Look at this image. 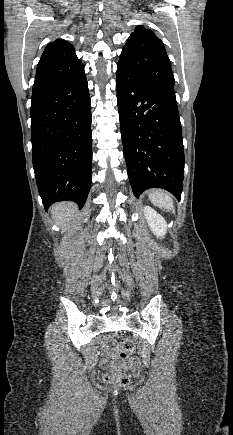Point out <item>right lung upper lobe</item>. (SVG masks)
Wrapping results in <instances>:
<instances>
[{"label":"right lung upper lobe","instance_id":"cb5924a9","mask_svg":"<svg viewBox=\"0 0 233 435\" xmlns=\"http://www.w3.org/2000/svg\"><path fill=\"white\" fill-rule=\"evenodd\" d=\"M84 72L72 44L62 39L49 43L38 63L32 99L44 95Z\"/></svg>","mask_w":233,"mask_h":435}]
</instances>
